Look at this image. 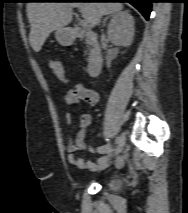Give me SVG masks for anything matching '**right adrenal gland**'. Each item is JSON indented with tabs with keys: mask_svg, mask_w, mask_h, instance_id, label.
<instances>
[{
	"mask_svg": "<svg viewBox=\"0 0 188 213\" xmlns=\"http://www.w3.org/2000/svg\"><path fill=\"white\" fill-rule=\"evenodd\" d=\"M113 15H108V16H106L105 18H104V20H103V26H105V23H106V21L110 18V17H112Z\"/></svg>",
	"mask_w": 188,
	"mask_h": 213,
	"instance_id": "2a0ac1e0",
	"label": "right adrenal gland"
}]
</instances>
